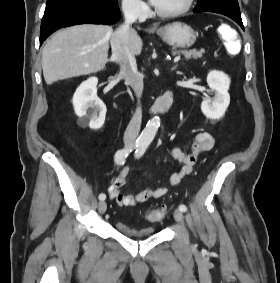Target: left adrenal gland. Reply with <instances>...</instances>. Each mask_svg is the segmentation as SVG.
<instances>
[{"instance_id": "obj_1", "label": "left adrenal gland", "mask_w": 280, "mask_h": 283, "mask_svg": "<svg viewBox=\"0 0 280 283\" xmlns=\"http://www.w3.org/2000/svg\"><path fill=\"white\" fill-rule=\"evenodd\" d=\"M176 69V66H174L173 68H172V70H175Z\"/></svg>"}]
</instances>
